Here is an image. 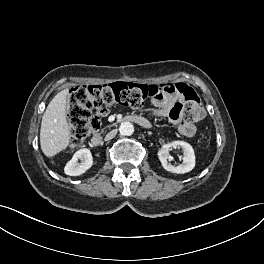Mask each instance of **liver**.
Instances as JSON below:
<instances>
[{"mask_svg":"<svg viewBox=\"0 0 264 264\" xmlns=\"http://www.w3.org/2000/svg\"><path fill=\"white\" fill-rule=\"evenodd\" d=\"M69 90L57 93L47 106L41 122L40 145L47 157L55 156L70 143V130L66 120V99Z\"/></svg>","mask_w":264,"mask_h":264,"instance_id":"1","label":"liver"}]
</instances>
